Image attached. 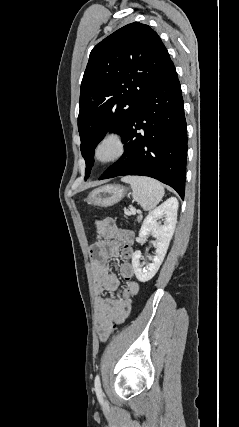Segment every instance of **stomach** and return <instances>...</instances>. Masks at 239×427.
<instances>
[{
	"instance_id": "0dacf381",
	"label": "stomach",
	"mask_w": 239,
	"mask_h": 427,
	"mask_svg": "<svg viewBox=\"0 0 239 427\" xmlns=\"http://www.w3.org/2000/svg\"><path fill=\"white\" fill-rule=\"evenodd\" d=\"M127 190L121 185H105L89 193L87 202L94 206L109 207L124 198Z\"/></svg>"
}]
</instances>
